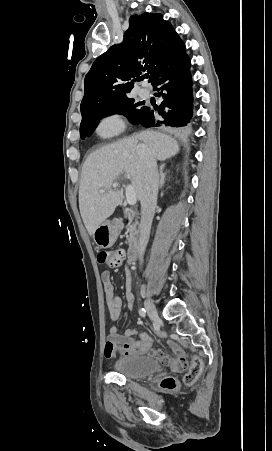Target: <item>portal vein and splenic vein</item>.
Here are the masks:
<instances>
[{"label": "portal vein and splenic vein", "instance_id": "1", "mask_svg": "<svg viewBox=\"0 0 272 451\" xmlns=\"http://www.w3.org/2000/svg\"><path fill=\"white\" fill-rule=\"evenodd\" d=\"M125 178H128L130 180L131 176L130 174H126ZM114 188H116L117 184H113ZM100 194H104L105 190H99ZM126 200L129 204V206H135L137 200H136V194L132 188V186H127L126 188Z\"/></svg>", "mask_w": 272, "mask_h": 451}]
</instances>
